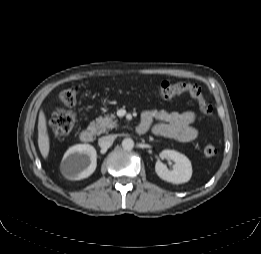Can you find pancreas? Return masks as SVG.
Returning a JSON list of instances; mask_svg holds the SVG:
<instances>
[{
	"label": "pancreas",
	"mask_w": 261,
	"mask_h": 254,
	"mask_svg": "<svg viewBox=\"0 0 261 254\" xmlns=\"http://www.w3.org/2000/svg\"><path fill=\"white\" fill-rule=\"evenodd\" d=\"M90 127L96 134L100 135L101 133H105L106 131L117 127V120H115L113 114L105 115L104 117L100 116L90 123Z\"/></svg>",
	"instance_id": "pancreas-1"
}]
</instances>
